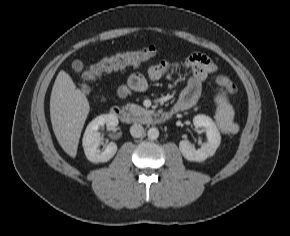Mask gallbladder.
Instances as JSON below:
<instances>
[{
    "mask_svg": "<svg viewBox=\"0 0 290 236\" xmlns=\"http://www.w3.org/2000/svg\"><path fill=\"white\" fill-rule=\"evenodd\" d=\"M72 68L75 72L79 73L83 69V63L80 60H74L72 62Z\"/></svg>",
    "mask_w": 290,
    "mask_h": 236,
    "instance_id": "obj_1",
    "label": "gallbladder"
}]
</instances>
